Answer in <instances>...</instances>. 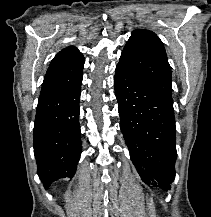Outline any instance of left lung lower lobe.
I'll use <instances>...</instances> for the list:
<instances>
[{
    "label": "left lung lower lobe",
    "instance_id": "left-lung-lower-lobe-1",
    "mask_svg": "<svg viewBox=\"0 0 211 217\" xmlns=\"http://www.w3.org/2000/svg\"><path fill=\"white\" fill-rule=\"evenodd\" d=\"M114 88L120 128L137 172L148 186L170 190L177 158L173 102L119 64Z\"/></svg>",
    "mask_w": 211,
    "mask_h": 217
}]
</instances>
